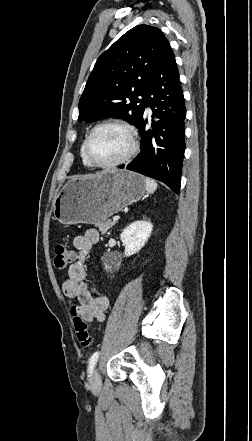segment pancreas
Wrapping results in <instances>:
<instances>
[{
	"instance_id": "pancreas-1",
	"label": "pancreas",
	"mask_w": 252,
	"mask_h": 441,
	"mask_svg": "<svg viewBox=\"0 0 252 441\" xmlns=\"http://www.w3.org/2000/svg\"><path fill=\"white\" fill-rule=\"evenodd\" d=\"M115 225V221L97 222L95 226L99 229L101 234H105L112 226Z\"/></svg>"
}]
</instances>
